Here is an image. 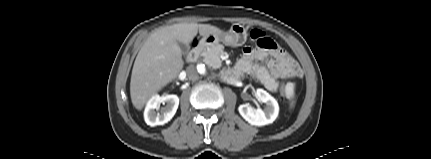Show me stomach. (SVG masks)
<instances>
[{
	"mask_svg": "<svg viewBox=\"0 0 431 159\" xmlns=\"http://www.w3.org/2000/svg\"><path fill=\"white\" fill-rule=\"evenodd\" d=\"M206 45L213 46L222 42L226 46L237 47L243 45L247 40V32L244 26L233 24L228 31H221L218 34H211L203 38Z\"/></svg>",
	"mask_w": 431,
	"mask_h": 159,
	"instance_id": "stomach-1",
	"label": "stomach"
}]
</instances>
